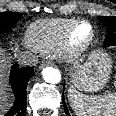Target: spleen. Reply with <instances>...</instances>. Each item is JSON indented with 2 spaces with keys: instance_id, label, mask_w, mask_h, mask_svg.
Here are the masks:
<instances>
[{
  "instance_id": "obj_1",
  "label": "spleen",
  "mask_w": 116,
  "mask_h": 116,
  "mask_svg": "<svg viewBox=\"0 0 116 116\" xmlns=\"http://www.w3.org/2000/svg\"><path fill=\"white\" fill-rule=\"evenodd\" d=\"M68 99L77 116H116V93L85 96L69 88Z\"/></svg>"
}]
</instances>
